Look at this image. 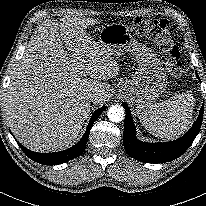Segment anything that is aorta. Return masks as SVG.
<instances>
[{
  "mask_svg": "<svg viewBox=\"0 0 206 206\" xmlns=\"http://www.w3.org/2000/svg\"><path fill=\"white\" fill-rule=\"evenodd\" d=\"M125 111L121 105H112L108 110V118L110 121L119 123L124 119Z\"/></svg>",
  "mask_w": 206,
  "mask_h": 206,
  "instance_id": "762f6f07",
  "label": "aorta"
}]
</instances>
